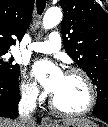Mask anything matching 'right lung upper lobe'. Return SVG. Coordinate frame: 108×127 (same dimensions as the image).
Segmentation results:
<instances>
[{
  "label": "right lung upper lobe",
  "mask_w": 108,
  "mask_h": 127,
  "mask_svg": "<svg viewBox=\"0 0 108 127\" xmlns=\"http://www.w3.org/2000/svg\"><path fill=\"white\" fill-rule=\"evenodd\" d=\"M34 0H0V51H8L25 34L33 13Z\"/></svg>",
  "instance_id": "right-lung-upper-lobe-1"
}]
</instances>
